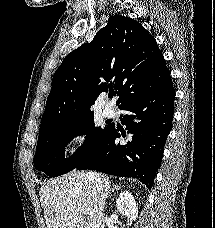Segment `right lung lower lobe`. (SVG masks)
Wrapping results in <instances>:
<instances>
[{"label": "right lung lower lobe", "mask_w": 215, "mask_h": 228, "mask_svg": "<svg viewBox=\"0 0 215 228\" xmlns=\"http://www.w3.org/2000/svg\"><path fill=\"white\" fill-rule=\"evenodd\" d=\"M174 99L170 75L156 82L137 83L119 106L128 112L121 116V121L126 125L130 141L116 142L121 134L113 125L108 137L75 169L135 177L151 189L171 131ZM122 136L125 137L123 132Z\"/></svg>", "instance_id": "98d812e1"}]
</instances>
